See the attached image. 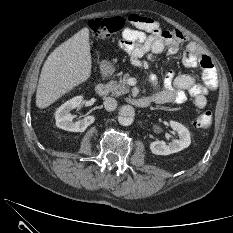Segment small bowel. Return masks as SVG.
Returning a JSON list of instances; mask_svg holds the SVG:
<instances>
[{"label":"small bowel","mask_w":233,"mask_h":233,"mask_svg":"<svg viewBox=\"0 0 233 233\" xmlns=\"http://www.w3.org/2000/svg\"><path fill=\"white\" fill-rule=\"evenodd\" d=\"M134 28H125L122 31L118 47L125 51L131 61L147 68L150 61L163 52L174 54L180 45H185L183 56L185 67L202 69V83L196 81L190 74L175 76L170 71L163 80V89L150 98L158 104H182L187 100V93L192 97L197 108H204L207 104V95L217 87V73L211 58L194 42L177 29H163L155 20L137 14L128 17ZM156 82V76H151Z\"/></svg>","instance_id":"obj_1"}]
</instances>
